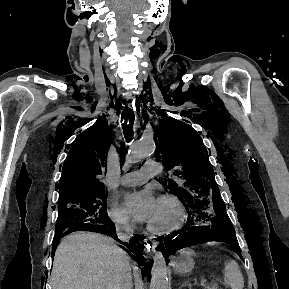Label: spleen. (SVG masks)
Instances as JSON below:
<instances>
[{"mask_svg": "<svg viewBox=\"0 0 289 289\" xmlns=\"http://www.w3.org/2000/svg\"><path fill=\"white\" fill-rule=\"evenodd\" d=\"M224 281L231 289H243L244 279L240 268L235 260H230L225 263Z\"/></svg>", "mask_w": 289, "mask_h": 289, "instance_id": "1", "label": "spleen"}]
</instances>
